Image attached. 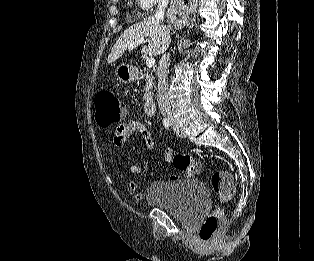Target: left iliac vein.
Masks as SVG:
<instances>
[{"instance_id": "1", "label": "left iliac vein", "mask_w": 314, "mask_h": 261, "mask_svg": "<svg viewBox=\"0 0 314 261\" xmlns=\"http://www.w3.org/2000/svg\"><path fill=\"white\" fill-rule=\"evenodd\" d=\"M172 126H173V129H174L175 133L179 137H181V138H185L186 137V132H185V130L181 126H179L178 124L174 123L173 121H172Z\"/></svg>"}]
</instances>
